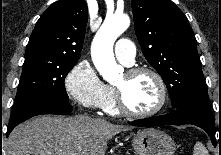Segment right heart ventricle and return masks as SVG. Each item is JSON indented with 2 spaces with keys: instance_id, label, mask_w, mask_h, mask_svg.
I'll return each instance as SVG.
<instances>
[{
  "instance_id": "1",
  "label": "right heart ventricle",
  "mask_w": 221,
  "mask_h": 155,
  "mask_svg": "<svg viewBox=\"0 0 221 155\" xmlns=\"http://www.w3.org/2000/svg\"><path fill=\"white\" fill-rule=\"evenodd\" d=\"M102 108L105 112L111 115H117L119 113L115 102L114 92L111 87H108V97Z\"/></svg>"
}]
</instances>
